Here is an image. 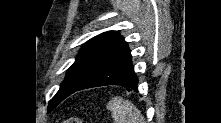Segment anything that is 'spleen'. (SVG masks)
<instances>
[{"mask_svg": "<svg viewBox=\"0 0 221 123\" xmlns=\"http://www.w3.org/2000/svg\"><path fill=\"white\" fill-rule=\"evenodd\" d=\"M107 108L115 123H144L140 110L129 100L115 97L109 101Z\"/></svg>", "mask_w": 221, "mask_h": 123, "instance_id": "obj_1", "label": "spleen"}]
</instances>
